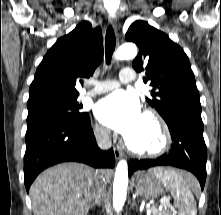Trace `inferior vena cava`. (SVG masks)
I'll use <instances>...</instances> for the list:
<instances>
[{"instance_id":"inferior-vena-cava-1","label":"inferior vena cava","mask_w":221,"mask_h":215,"mask_svg":"<svg viewBox=\"0 0 221 215\" xmlns=\"http://www.w3.org/2000/svg\"><path fill=\"white\" fill-rule=\"evenodd\" d=\"M97 142L101 149H109L111 147V136L109 130H99L97 132ZM105 187L102 181L96 182V190L93 194V200L94 202H97L101 200V197L104 193Z\"/></svg>"}]
</instances>
